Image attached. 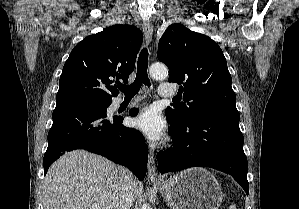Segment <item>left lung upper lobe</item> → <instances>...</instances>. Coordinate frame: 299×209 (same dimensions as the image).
<instances>
[{
  "mask_svg": "<svg viewBox=\"0 0 299 209\" xmlns=\"http://www.w3.org/2000/svg\"><path fill=\"white\" fill-rule=\"evenodd\" d=\"M158 59L169 68L168 81L182 85L179 92L185 103L166 109L169 121L186 122L205 106L235 105L225 56L208 36L172 24L159 41Z\"/></svg>",
  "mask_w": 299,
  "mask_h": 209,
  "instance_id": "left-lung-upper-lobe-1",
  "label": "left lung upper lobe"
}]
</instances>
